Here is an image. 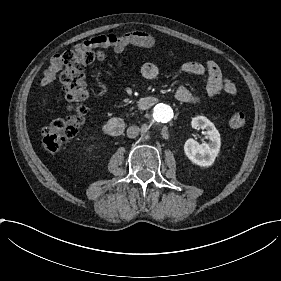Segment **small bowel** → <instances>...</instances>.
Segmentation results:
<instances>
[{
  "mask_svg": "<svg viewBox=\"0 0 281 281\" xmlns=\"http://www.w3.org/2000/svg\"><path fill=\"white\" fill-rule=\"evenodd\" d=\"M130 45L152 48L155 45V39L150 34L142 31H129L119 34H108L102 38L100 43V46L112 47L118 53L123 52ZM173 56L177 59L179 54L174 53ZM63 66V57L61 55L53 56L48 69L44 73L42 83L46 85L54 81L57 74L63 69ZM180 68L184 73L194 76L207 75L203 83V93L192 92L182 85L177 87L175 97L180 103H197L207 98L216 99L221 95L227 97L235 95L234 84L223 77L219 67L213 60L207 59L203 64L185 62ZM141 70L144 77L148 80H156L159 77L158 67L152 62L143 64ZM43 94H45V91H43Z\"/></svg>",
  "mask_w": 281,
  "mask_h": 281,
  "instance_id": "1",
  "label": "small bowel"
}]
</instances>
